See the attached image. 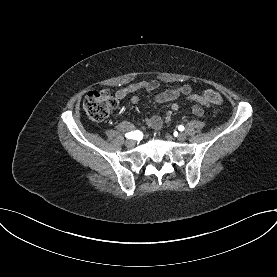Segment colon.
Listing matches in <instances>:
<instances>
[{
    "label": "colon",
    "mask_w": 277,
    "mask_h": 277,
    "mask_svg": "<svg viewBox=\"0 0 277 277\" xmlns=\"http://www.w3.org/2000/svg\"><path fill=\"white\" fill-rule=\"evenodd\" d=\"M203 95L211 103H222L221 95L213 90H206ZM83 106L92 121L100 122L110 115L116 106V101L108 90H93L85 96Z\"/></svg>",
    "instance_id": "obj_1"
}]
</instances>
